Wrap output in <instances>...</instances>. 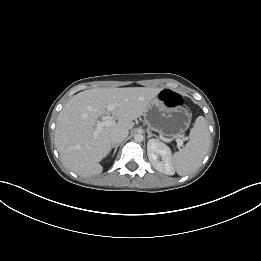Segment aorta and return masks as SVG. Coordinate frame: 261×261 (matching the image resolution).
I'll return each mask as SVG.
<instances>
[{
  "label": "aorta",
  "mask_w": 261,
  "mask_h": 261,
  "mask_svg": "<svg viewBox=\"0 0 261 261\" xmlns=\"http://www.w3.org/2000/svg\"><path fill=\"white\" fill-rule=\"evenodd\" d=\"M144 139V136L141 133H137L134 135L135 142H142Z\"/></svg>",
  "instance_id": "1"
}]
</instances>
